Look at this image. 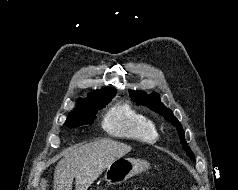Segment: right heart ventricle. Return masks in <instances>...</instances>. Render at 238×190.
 Here are the masks:
<instances>
[{
	"instance_id": "e07e8e85",
	"label": "right heart ventricle",
	"mask_w": 238,
	"mask_h": 190,
	"mask_svg": "<svg viewBox=\"0 0 238 190\" xmlns=\"http://www.w3.org/2000/svg\"><path fill=\"white\" fill-rule=\"evenodd\" d=\"M103 129L113 135L154 142L158 133L153 121L129 103L110 108L102 120Z\"/></svg>"
}]
</instances>
